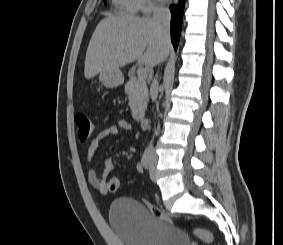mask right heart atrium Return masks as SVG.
I'll return each mask as SVG.
<instances>
[{
	"label": "right heart atrium",
	"mask_w": 283,
	"mask_h": 245,
	"mask_svg": "<svg viewBox=\"0 0 283 245\" xmlns=\"http://www.w3.org/2000/svg\"><path fill=\"white\" fill-rule=\"evenodd\" d=\"M137 2L139 10L146 14L152 12L159 6L158 0H137Z\"/></svg>",
	"instance_id": "obj_1"
}]
</instances>
